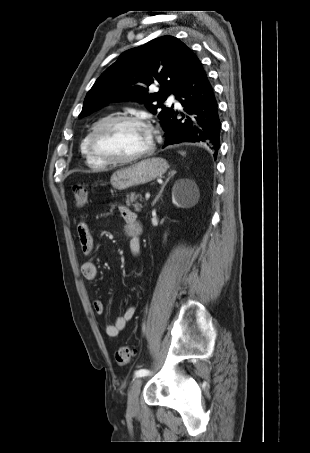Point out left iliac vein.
<instances>
[{
	"mask_svg": "<svg viewBox=\"0 0 310 453\" xmlns=\"http://www.w3.org/2000/svg\"><path fill=\"white\" fill-rule=\"evenodd\" d=\"M142 386V378L137 377L128 394V412L136 415L139 412V394Z\"/></svg>",
	"mask_w": 310,
	"mask_h": 453,
	"instance_id": "obj_1",
	"label": "left iliac vein"
}]
</instances>
